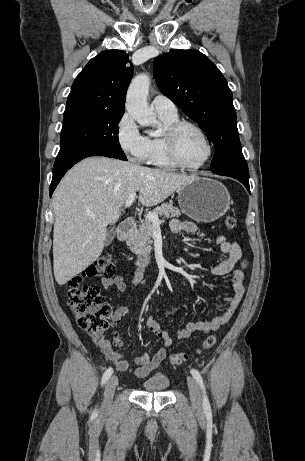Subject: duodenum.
I'll use <instances>...</instances> for the list:
<instances>
[{"mask_svg":"<svg viewBox=\"0 0 305 461\" xmlns=\"http://www.w3.org/2000/svg\"><path fill=\"white\" fill-rule=\"evenodd\" d=\"M133 228H134V221L132 219L123 221L117 229L118 240L120 242H124L127 239H129L133 231ZM136 264L139 266H147L148 259L147 258L138 259L136 260Z\"/></svg>","mask_w":305,"mask_h":461,"instance_id":"1","label":"duodenum"}]
</instances>
